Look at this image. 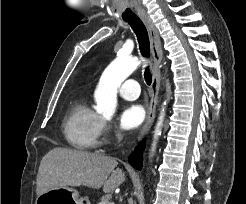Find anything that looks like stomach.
<instances>
[{"label": "stomach", "mask_w": 246, "mask_h": 204, "mask_svg": "<svg viewBox=\"0 0 246 204\" xmlns=\"http://www.w3.org/2000/svg\"><path fill=\"white\" fill-rule=\"evenodd\" d=\"M35 204H90L87 197H81L70 187L51 189L39 195Z\"/></svg>", "instance_id": "1"}]
</instances>
